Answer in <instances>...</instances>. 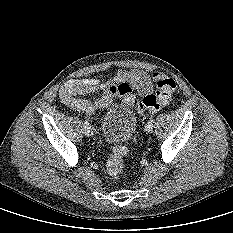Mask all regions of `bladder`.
<instances>
[{
    "label": "bladder",
    "mask_w": 233,
    "mask_h": 233,
    "mask_svg": "<svg viewBox=\"0 0 233 233\" xmlns=\"http://www.w3.org/2000/svg\"><path fill=\"white\" fill-rule=\"evenodd\" d=\"M137 127L135 112L122 104L110 105L102 118V132L105 139L112 144L128 142Z\"/></svg>",
    "instance_id": "bladder-1"
}]
</instances>
